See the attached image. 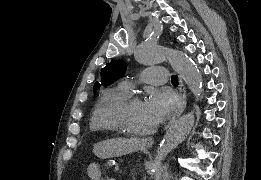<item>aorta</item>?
Returning <instances> with one entry per match:
<instances>
[{
    "label": "aorta",
    "instance_id": "obj_1",
    "mask_svg": "<svg viewBox=\"0 0 261 180\" xmlns=\"http://www.w3.org/2000/svg\"><path fill=\"white\" fill-rule=\"evenodd\" d=\"M135 59L145 65L161 63L168 59L190 91L197 98L202 92V76L194 62L183 52L158 45L141 44L135 51ZM194 114L188 113L176 120L164 135L152 168H156L169 152L182 143L194 126Z\"/></svg>",
    "mask_w": 261,
    "mask_h": 180
}]
</instances>
